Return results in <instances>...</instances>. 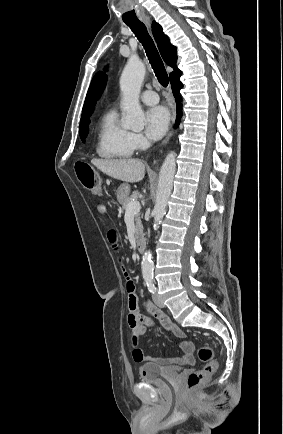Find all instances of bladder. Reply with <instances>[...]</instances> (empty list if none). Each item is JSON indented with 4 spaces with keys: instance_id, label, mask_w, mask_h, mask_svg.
<instances>
[{
    "instance_id": "obj_1",
    "label": "bladder",
    "mask_w": 283,
    "mask_h": 434,
    "mask_svg": "<svg viewBox=\"0 0 283 434\" xmlns=\"http://www.w3.org/2000/svg\"><path fill=\"white\" fill-rule=\"evenodd\" d=\"M178 374V369L148 363L140 368L139 377L143 382H161Z\"/></svg>"
}]
</instances>
